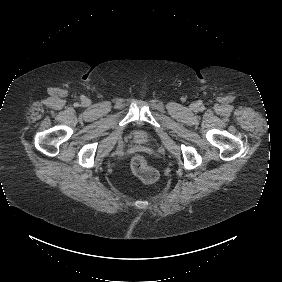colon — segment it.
<instances>
[{
  "mask_svg": "<svg viewBox=\"0 0 282 282\" xmlns=\"http://www.w3.org/2000/svg\"><path fill=\"white\" fill-rule=\"evenodd\" d=\"M130 166L134 173L144 182H154L157 178V172L147 165L146 159L141 155L134 156L130 161Z\"/></svg>",
  "mask_w": 282,
  "mask_h": 282,
  "instance_id": "colon-1",
  "label": "colon"
}]
</instances>
